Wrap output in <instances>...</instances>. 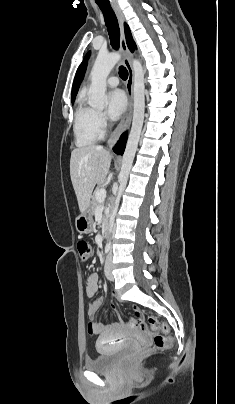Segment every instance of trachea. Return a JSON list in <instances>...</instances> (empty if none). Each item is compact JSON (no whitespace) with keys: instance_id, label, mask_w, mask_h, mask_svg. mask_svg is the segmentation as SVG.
Listing matches in <instances>:
<instances>
[{"instance_id":"obj_1","label":"trachea","mask_w":235,"mask_h":404,"mask_svg":"<svg viewBox=\"0 0 235 404\" xmlns=\"http://www.w3.org/2000/svg\"><path fill=\"white\" fill-rule=\"evenodd\" d=\"M98 6L104 15L111 46L115 50H118L119 43H120V29H119L117 17L110 4H98ZM119 76L123 80L127 79L128 71L124 66L119 67Z\"/></svg>"}]
</instances>
